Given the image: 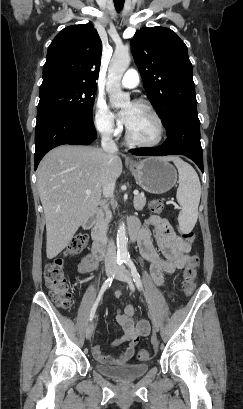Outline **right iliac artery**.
Listing matches in <instances>:
<instances>
[{
    "instance_id": "82829eb1",
    "label": "right iliac artery",
    "mask_w": 243,
    "mask_h": 409,
    "mask_svg": "<svg viewBox=\"0 0 243 409\" xmlns=\"http://www.w3.org/2000/svg\"><path fill=\"white\" fill-rule=\"evenodd\" d=\"M123 261H124V260H122V259H118V260H117V264L120 266V265L123 263ZM113 278H114V275H113L112 277L108 278V279L104 282L103 286L101 287L100 292H99V294H98V297H97L96 301L94 302V304H93V306H92V309H91V311H90V318H89L90 321L93 320L94 315H95V312H96V309H97V306H98V304H99V301L101 300L102 295H103V293L105 292V290L108 289V288L111 286L112 281H113Z\"/></svg>"
}]
</instances>
